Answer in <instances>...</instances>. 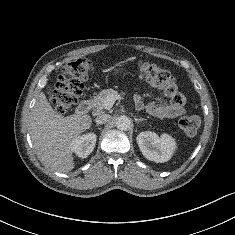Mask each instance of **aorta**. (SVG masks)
<instances>
[{"label": "aorta", "mask_w": 235, "mask_h": 235, "mask_svg": "<svg viewBox=\"0 0 235 235\" xmlns=\"http://www.w3.org/2000/svg\"><path fill=\"white\" fill-rule=\"evenodd\" d=\"M116 125L118 129L126 131L131 127V120L129 117L123 115L117 118Z\"/></svg>", "instance_id": "aorta-1"}]
</instances>
